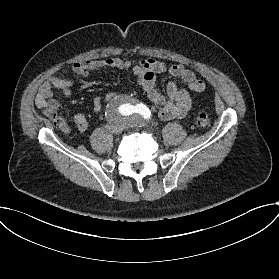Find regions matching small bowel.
Listing matches in <instances>:
<instances>
[{
	"label": "small bowel",
	"instance_id": "c3829d8e",
	"mask_svg": "<svg viewBox=\"0 0 279 279\" xmlns=\"http://www.w3.org/2000/svg\"><path fill=\"white\" fill-rule=\"evenodd\" d=\"M116 69L122 71H132L139 80L148 95V98L158 107V116L161 120L168 121L186 116L193 107L194 98L189 92L180 89L176 82L167 85V97L156 88L155 75L167 72L171 76L184 81L192 92L200 93L205 89V83L199 79L194 71L182 64H175L170 67L156 59H147L137 63L123 60L119 57L107 59H91L75 63L72 71L81 77H86L92 71ZM73 80L65 79L57 74L52 75L42 83L36 96V106L47 111L60 109V103L53 98V90L59 89L66 97H70ZM106 97L99 96L93 100L92 108L94 113H100ZM75 128L84 132L88 123L86 116L76 114L73 117Z\"/></svg>",
	"mask_w": 279,
	"mask_h": 279
}]
</instances>
